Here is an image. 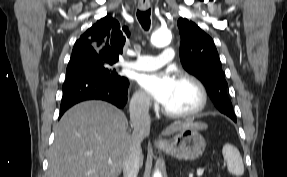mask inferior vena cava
<instances>
[{
	"instance_id": "inferior-vena-cava-1",
	"label": "inferior vena cava",
	"mask_w": 287,
	"mask_h": 177,
	"mask_svg": "<svg viewBox=\"0 0 287 177\" xmlns=\"http://www.w3.org/2000/svg\"><path fill=\"white\" fill-rule=\"evenodd\" d=\"M150 100L141 98L130 105L133 142L123 165V177H137L142 161L141 142L150 133Z\"/></svg>"
}]
</instances>
